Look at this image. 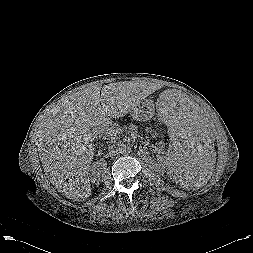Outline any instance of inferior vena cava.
Returning a JSON list of instances; mask_svg holds the SVG:
<instances>
[{"mask_svg":"<svg viewBox=\"0 0 253 253\" xmlns=\"http://www.w3.org/2000/svg\"><path fill=\"white\" fill-rule=\"evenodd\" d=\"M97 128L100 129V127H97ZM109 154L110 156H116L119 154L118 143L109 147Z\"/></svg>","mask_w":253,"mask_h":253,"instance_id":"1","label":"inferior vena cava"}]
</instances>
